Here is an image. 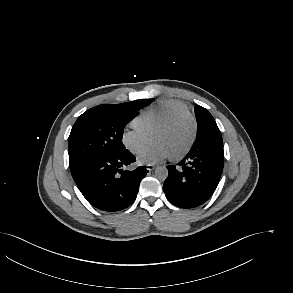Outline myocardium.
<instances>
[{
    "label": "myocardium",
    "instance_id": "obj_1",
    "mask_svg": "<svg viewBox=\"0 0 293 293\" xmlns=\"http://www.w3.org/2000/svg\"><path fill=\"white\" fill-rule=\"evenodd\" d=\"M183 119H188L191 122L192 135H191V139H190V142L187 145V147L183 151H181L180 153L173 155L172 156L173 160H180V159L184 158L192 150V148L195 144V141H196L197 130H198V124H197L196 117L189 111L177 113V114L173 115L172 117H170L168 120H166L164 123H162L160 126H158L155 129V131L153 132V134H154L158 131L167 130V129L173 127L176 123H178L179 121H181Z\"/></svg>",
    "mask_w": 293,
    "mask_h": 293
}]
</instances>
